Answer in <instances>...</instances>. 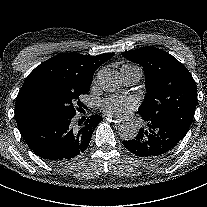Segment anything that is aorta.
<instances>
[{
    "instance_id": "obj_1",
    "label": "aorta",
    "mask_w": 207,
    "mask_h": 207,
    "mask_svg": "<svg viewBox=\"0 0 207 207\" xmlns=\"http://www.w3.org/2000/svg\"><path fill=\"white\" fill-rule=\"evenodd\" d=\"M100 87L107 92H115L121 86V77L117 72L109 68L101 69L97 75ZM138 134V128L133 123H123L119 127V135L125 141L134 139Z\"/></svg>"
}]
</instances>
